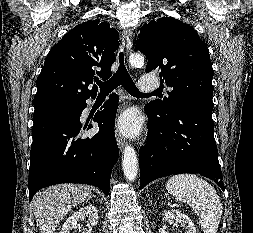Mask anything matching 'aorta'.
<instances>
[{"mask_svg":"<svg viewBox=\"0 0 253 233\" xmlns=\"http://www.w3.org/2000/svg\"><path fill=\"white\" fill-rule=\"evenodd\" d=\"M144 61V57L141 54H133L129 58V63L133 67H142ZM122 168L125 177L129 181H133L136 178L138 173V159L134 148L130 145H127L124 149Z\"/></svg>","mask_w":253,"mask_h":233,"instance_id":"obj_1","label":"aorta"}]
</instances>
